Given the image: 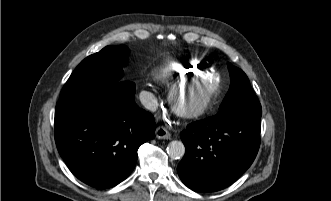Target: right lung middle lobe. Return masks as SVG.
Instances as JSON below:
<instances>
[{"label":"right lung middle lobe","mask_w":331,"mask_h":201,"mask_svg":"<svg viewBox=\"0 0 331 201\" xmlns=\"http://www.w3.org/2000/svg\"><path fill=\"white\" fill-rule=\"evenodd\" d=\"M129 55L128 47L106 46L85 58L66 82L59 101L103 83L123 81V66Z\"/></svg>","instance_id":"right-lung-middle-lobe-1"}]
</instances>
